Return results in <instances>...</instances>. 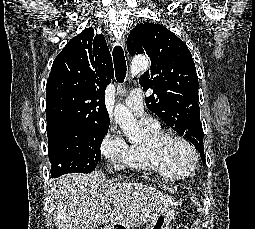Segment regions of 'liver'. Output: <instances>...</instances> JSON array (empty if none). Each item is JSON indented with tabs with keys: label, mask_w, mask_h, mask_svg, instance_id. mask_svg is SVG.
Returning <instances> with one entry per match:
<instances>
[{
	"label": "liver",
	"mask_w": 255,
	"mask_h": 229,
	"mask_svg": "<svg viewBox=\"0 0 255 229\" xmlns=\"http://www.w3.org/2000/svg\"><path fill=\"white\" fill-rule=\"evenodd\" d=\"M50 192L57 229H88L108 223L138 227L175 202L142 183H106L100 171L61 176L50 186Z\"/></svg>",
	"instance_id": "liver-1"
}]
</instances>
